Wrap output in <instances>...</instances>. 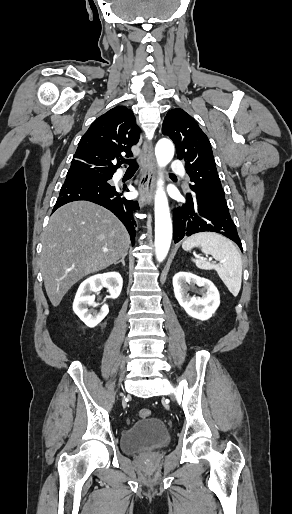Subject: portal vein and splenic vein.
<instances>
[{
  "instance_id": "18ae733b",
  "label": "portal vein and splenic vein",
  "mask_w": 292,
  "mask_h": 514,
  "mask_svg": "<svg viewBox=\"0 0 292 514\" xmlns=\"http://www.w3.org/2000/svg\"><path fill=\"white\" fill-rule=\"evenodd\" d=\"M103 252H108V250H103Z\"/></svg>"
}]
</instances>
